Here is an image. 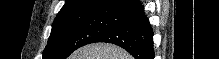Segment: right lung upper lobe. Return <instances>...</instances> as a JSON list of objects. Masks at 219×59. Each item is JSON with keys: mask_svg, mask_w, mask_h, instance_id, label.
I'll list each match as a JSON object with an SVG mask.
<instances>
[{"mask_svg": "<svg viewBox=\"0 0 219 59\" xmlns=\"http://www.w3.org/2000/svg\"><path fill=\"white\" fill-rule=\"evenodd\" d=\"M126 0H66L56 18L91 10L110 11Z\"/></svg>", "mask_w": 219, "mask_h": 59, "instance_id": "right-lung-upper-lobe-1", "label": "right lung upper lobe"}]
</instances>
